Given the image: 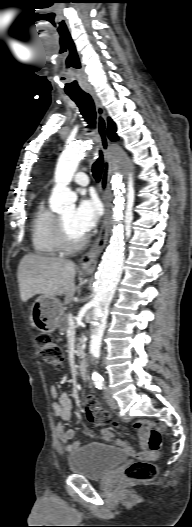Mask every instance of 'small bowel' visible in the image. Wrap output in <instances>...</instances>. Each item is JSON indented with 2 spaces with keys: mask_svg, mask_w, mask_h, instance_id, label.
<instances>
[{
  "mask_svg": "<svg viewBox=\"0 0 192 527\" xmlns=\"http://www.w3.org/2000/svg\"><path fill=\"white\" fill-rule=\"evenodd\" d=\"M51 396L56 399L53 403V410L59 422L56 425V433L58 438L63 444H66L68 451H73L81 446L79 440H74L75 430L65 429L63 426V421H68L72 417V401L70 396L66 392L58 393L55 387L50 389ZM134 431H140V437L144 440L146 437V430L142 429L141 424L136 423L133 426ZM101 435L104 440L110 441L113 437V432L109 428H102ZM116 444L124 447L128 452H130L129 457L134 459L136 454L132 447L124 440H117ZM155 451L150 449H145L138 454V461L140 464L145 465L147 463L153 464L156 461Z\"/></svg>",
  "mask_w": 192,
  "mask_h": 527,
  "instance_id": "1",
  "label": "small bowel"
}]
</instances>
